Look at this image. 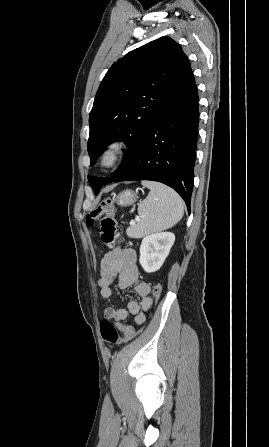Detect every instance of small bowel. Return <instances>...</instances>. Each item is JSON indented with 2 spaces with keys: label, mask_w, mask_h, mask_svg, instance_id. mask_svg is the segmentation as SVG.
I'll use <instances>...</instances> for the list:
<instances>
[{
  "label": "small bowel",
  "mask_w": 269,
  "mask_h": 447,
  "mask_svg": "<svg viewBox=\"0 0 269 447\" xmlns=\"http://www.w3.org/2000/svg\"><path fill=\"white\" fill-rule=\"evenodd\" d=\"M139 271L136 265V255L133 249L115 248L108 251L100 264V276L97 280L100 286V294L104 299L113 296L111 285L116 282L118 288L126 289L134 285L135 292L141 297V304L135 300H129L126 308L113 309L106 308L104 317L115 321V326H120L123 330L127 327L123 322L132 314L136 316V321L143 319L140 308L147 309L151 305V287L146 281L138 280Z\"/></svg>",
  "instance_id": "obj_1"
}]
</instances>
